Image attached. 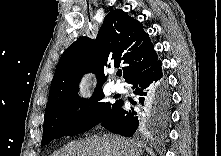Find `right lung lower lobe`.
I'll return each mask as SVG.
<instances>
[{"instance_id":"right-lung-lower-lobe-1","label":"right lung lower lobe","mask_w":221,"mask_h":156,"mask_svg":"<svg viewBox=\"0 0 221 156\" xmlns=\"http://www.w3.org/2000/svg\"><path fill=\"white\" fill-rule=\"evenodd\" d=\"M133 93L140 96L143 113L121 101L117 109L101 125L112 133L130 137L140 127H164L170 114V92L161 68V61L132 76L128 81ZM136 105V103H133Z\"/></svg>"}]
</instances>
